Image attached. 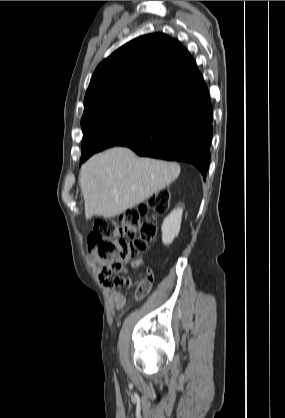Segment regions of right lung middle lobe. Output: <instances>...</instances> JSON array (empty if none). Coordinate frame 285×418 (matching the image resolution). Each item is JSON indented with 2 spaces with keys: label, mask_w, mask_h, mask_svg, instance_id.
<instances>
[{
  "label": "right lung middle lobe",
  "mask_w": 285,
  "mask_h": 418,
  "mask_svg": "<svg viewBox=\"0 0 285 418\" xmlns=\"http://www.w3.org/2000/svg\"><path fill=\"white\" fill-rule=\"evenodd\" d=\"M167 108L155 102L135 100L107 105L83 117L80 163L133 137L155 122Z\"/></svg>",
  "instance_id": "1"
}]
</instances>
